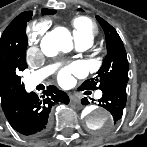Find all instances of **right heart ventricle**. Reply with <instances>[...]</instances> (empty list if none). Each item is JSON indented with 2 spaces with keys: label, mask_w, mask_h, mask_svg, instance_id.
<instances>
[{
  "label": "right heart ventricle",
  "mask_w": 147,
  "mask_h": 147,
  "mask_svg": "<svg viewBox=\"0 0 147 147\" xmlns=\"http://www.w3.org/2000/svg\"><path fill=\"white\" fill-rule=\"evenodd\" d=\"M75 41L87 42L90 45L97 35L95 23L88 17H76L72 22Z\"/></svg>",
  "instance_id": "1"
}]
</instances>
